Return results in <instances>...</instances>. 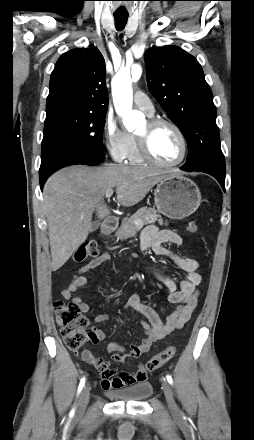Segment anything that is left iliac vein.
Here are the masks:
<instances>
[{
    "label": "left iliac vein",
    "instance_id": "left-iliac-vein-1",
    "mask_svg": "<svg viewBox=\"0 0 254 440\" xmlns=\"http://www.w3.org/2000/svg\"><path fill=\"white\" fill-rule=\"evenodd\" d=\"M163 390H164V394H165L170 411L173 414L179 413V409H178V407L175 403L174 397H173L172 387L167 382H163Z\"/></svg>",
    "mask_w": 254,
    "mask_h": 440
}]
</instances>
